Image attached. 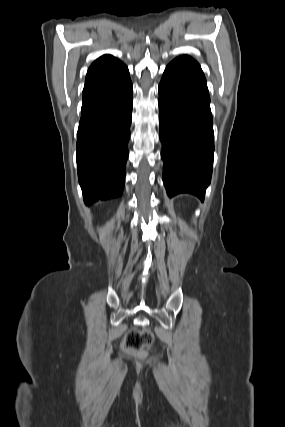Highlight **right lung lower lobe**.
<instances>
[{"label": "right lung lower lobe", "mask_w": 285, "mask_h": 427, "mask_svg": "<svg viewBox=\"0 0 285 427\" xmlns=\"http://www.w3.org/2000/svg\"><path fill=\"white\" fill-rule=\"evenodd\" d=\"M132 92L126 66L84 86L76 159L86 205L123 193Z\"/></svg>", "instance_id": "obj_1"}]
</instances>
